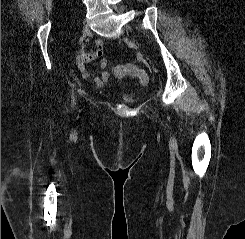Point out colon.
Wrapping results in <instances>:
<instances>
[{"mask_svg": "<svg viewBox=\"0 0 245 239\" xmlns=\"http://www.w3.org/2000/svg\"><path fill=\"white\" fill-rule=\"evenodd\" d=\"M113 71L118 77L130 75L136 78L142 85H146L149 81L148 74L144 70L132 64L115 66Z\"/></svg>", "mask_w": 245, "mask_h": 239, "instance_id": "1", "label": "colon"}]
</instances>
